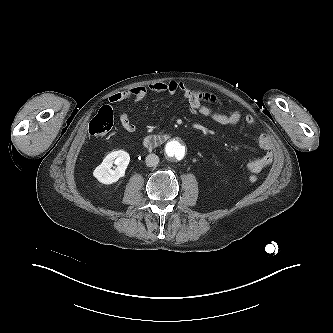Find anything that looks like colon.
I'll list each match as a JSON object with an SVG mask.
<instances>
[{"instance_id":"5ec220e1","label":"colon","mask_w":333,"mask_h":333,"mask_svg":"<svg viewBox=\"0 0 333 333\" xmlns=\"http://www.w3.org/2000/svg\"><path fill=\"white\" fill-rule=\"evenodd\" d=\"M113 126V112L109 106H103L89 123V132L95 136H103L110 132ZM256 175H250L249 181L256 183Z\"/></svg>"}]
</instances>
